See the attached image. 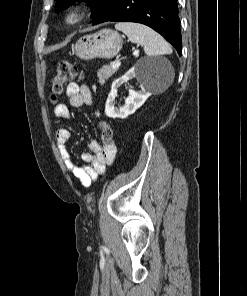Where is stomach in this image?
Returning <instances> with one entry per match:
<instances>
[{
    "label": "stomach",
    "mask_w": 247,
    "mask_h": 296,
    "mask_svg": "<svg viewBox=\"0 0 247 296\" xmlns=\"http://www.w3.org/2000/svg\"><path fill=\"white\" fill-rule=\"evenodd\" d=\"M121 36L114 30L102 29L94 34L80 37L75 44L74 51L82 60L95 58L111 59L122 49Z\"/></svg>",
    "instance_id": "0dacf381"
}]
</instances>
